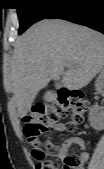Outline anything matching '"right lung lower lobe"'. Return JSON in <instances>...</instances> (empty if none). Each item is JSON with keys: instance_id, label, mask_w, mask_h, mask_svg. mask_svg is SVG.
I'll list each match as a JSON object with an SVG mask.
<instances>
[{"instance_id": "obj_1", "label": "right lung lower lobe", "mask_w": 104, "mask_h": 169, "mask_svg": "<svg viewBox=\"0 0 104 169\" xmlns=\"http://www.w3.org/2000/svg\"><path fill=\"white\" fill-rule=\"evenodd\" d=\"M47 19H64L104 33V0H72Z\"/></svg>"}]
</instances>
